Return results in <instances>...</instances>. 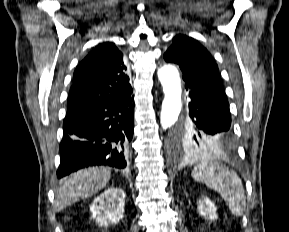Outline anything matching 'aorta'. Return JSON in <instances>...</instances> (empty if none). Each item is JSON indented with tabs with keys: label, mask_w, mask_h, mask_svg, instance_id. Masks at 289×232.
Wrapping results in <instances>:
<instances>
[{
	"label": "aorta",
	"mask_w": 289,
	"mask_h": 232,
	"mask_svg": "<svg viewBox=\"0 0 289 232\" xmlns=\"http://www.w3.org/2000/svg\"><path fill=\"white\" fill-rule=\"evenodd\" d=\"M158 78L164 92L160 123L166 129L177 122L181 112V80L178 70L172 65L161 67L158 71Z\"/></svg>",
	"instance_id": "obj_1"
}]
</instances>
